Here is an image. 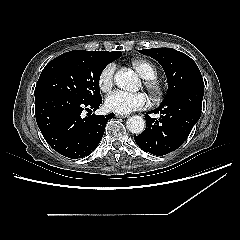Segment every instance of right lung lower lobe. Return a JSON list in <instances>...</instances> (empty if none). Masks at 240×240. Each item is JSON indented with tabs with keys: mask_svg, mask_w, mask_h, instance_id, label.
<instances>
[{
	"mask_svg": "<svg viewBox=\"0 0 240 240\" xmlns=\"http://www.w3.org/2000/svg\"><path fill=\"white\" fill-rule=\"evenodd\" d=\"M101 103L102 99L87 103L61 94L40 96L35 98L36 121L52 149L71 159L83 158L95 150L106 123L114 117L90 115Z\"/></svg>",
	"mask_w": 240,
	"mask_h": 240,
	"instance_id": "1",
	"label": "right lung lower lobe"
}]
</instances>
